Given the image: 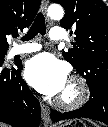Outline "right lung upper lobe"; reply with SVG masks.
I'll return each mask as SVG.
<instances>
[{"mask_svg":"<svg viewBox=\"0 0 108 127\" xmlns=\"http://www.w3.org/2000/svg\"><path fill=\"white\" fill-rule=\"evenodd\" d=\"M41 0H0V50L8 49L6 35L28 27Z\"/></svg>","mask_w":108,"mask_h":127,"instance_id":"right-lung-upper-lobe-1","label":"right lung upper lobe"}]
</instances>
